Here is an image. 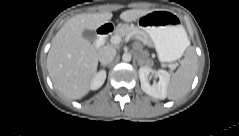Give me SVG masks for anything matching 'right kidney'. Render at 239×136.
Instances as JSON below:
<instances>
[{
    "label": "right kidney",
    "instance_id": "1",
    "mask_svg": "<svg viewBox=\"0 0 239 136\" xmlns=\"http://www.w3.org/2000/svg\"><path fill=\"white\" fill-rule=\"evenodd\" d=\"M105 79H106V71L104 70L99 71L97 74H95L94 78L92 79L90 89L97 90L104 84Z\"/></svg>",
    "mask_w": 239,
    "mask_h": 136
}]
</instances>
